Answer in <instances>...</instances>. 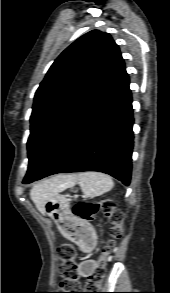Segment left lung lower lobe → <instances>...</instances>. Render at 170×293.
I'll list each match as a JSON object with an SVG mask.
<instances>
[{"mask_svg":"<svg viewBox=\"0 0 170 293\" xmlns=\"http://www.w3.org/2000/svg\"><path fill=\"white\" fill-rule=\"evenodd\" d=\"M133 109L126 71L99 106L86 118L63 150L28 184L46 176L99 171L129 185L132 171Z\"/></svg>","mask_w":170,"mask_h":293,"instance_id":"1","label":"left lung lower lobe"}]
</instances>
